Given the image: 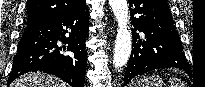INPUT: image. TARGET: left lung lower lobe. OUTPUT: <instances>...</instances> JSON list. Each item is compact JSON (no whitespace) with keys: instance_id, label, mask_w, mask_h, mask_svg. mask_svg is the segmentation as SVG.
Segmentation results:
<instances>
[{"instance_id":"left-lung-lower-lobe-1","label":"left lung lower lobe","mask_w":205,"mask_h":87,"mask_svg":"<svg viewBox=\"0 0 205 87\" xmlns=\"http://www.w3.org/2000/svg\"><path fill=\"white\" fill-rule=\"evenodd\" d=\"M133 45L123 86L154 69L178 68L189 73L182 43L166 0H129ZM144 33L140 39L139 33Z\"/></svg>"}]
</instances>
